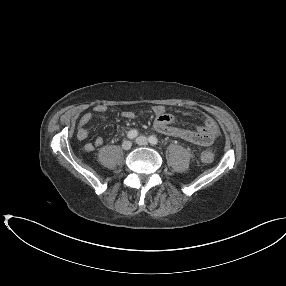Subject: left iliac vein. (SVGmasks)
<instances>
[{
  "label": "left iliac vein",
  "mask_w": 286,
  "mask_h": 286,
  "mask_svg": "<svg viewBox=\"0 0 286 286\" xmlns=\"http://www.w3.org/2000/svg\"><path fill=\"white\" fill-rule=\"evenodd\" d=\"M148 138L145 137V136H139L137 139H136V142L139 144V145H147L148 144Z\"/></svg>",
  "instance_id": "left-iliac-vein-1"
}]
</instances>
